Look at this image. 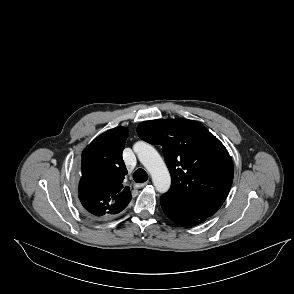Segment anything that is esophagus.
Masks as SVG:
<instances>
[{
	"label": "esophagus",
	"instance_id": "obj_1",
	"mask_svg": "<svg viewBox=\"0 0 294 294\" xmlns=\"http://www.w3.org/2000/svg\"><path fill=\"white\" fill-rule=\"evenodd\" d=\"M147 184H148V182L137 183V184H134V188L139 189V188H142V187L146 186Z\"/></svg>",
	"mask_w": 294,
	"mask_h": 294
}]
</instances>
